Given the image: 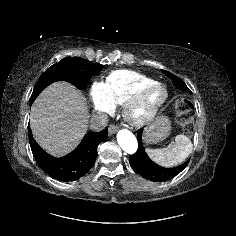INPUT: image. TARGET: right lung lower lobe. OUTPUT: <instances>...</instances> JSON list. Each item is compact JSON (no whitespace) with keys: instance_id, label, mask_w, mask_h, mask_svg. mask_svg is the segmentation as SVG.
Instances as JSON below:
<instances>
[{"instance_id":"1","label":"right lung lower lobe","mask_w":236,"mask_h":236,"mask_svg":"<svg viewBox=\"0 0 236 236\" xmlns=\"http://www.w3.org/2000/svg\"><path fill=\"white\" fill-rule=\"evenodd\" d=\"M29 142L33 156L40 168L59 181H74L84 176L94 165L98 145L108 138V129L88 133L79 146L63 158H55L46 153L34 140L28 127Z\"/></svg>"}]
</instances>
